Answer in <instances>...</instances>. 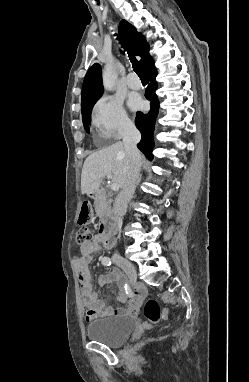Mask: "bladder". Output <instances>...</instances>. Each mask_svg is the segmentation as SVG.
I'll return each mask as SVG.
<instances>
[{
	"label": "bladder",
	"instance_id": "31cf9c89",
	"mask_svg": "<svg viewBox=\"0 0 249 382\" xmlns=\"http://www.w3.org/2000/svg\"><path fill=\"white\" fill-rule=\"evenodd\" d=\"M135 320L130 316H111L92 321L86 328L89 340L109 347L123 344L131 335Z\"/></svg>",
	"mask_w": 249,
	"mask_h": 382
}]
</instances>
